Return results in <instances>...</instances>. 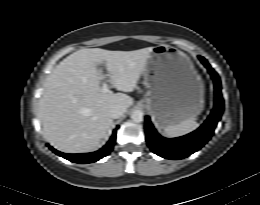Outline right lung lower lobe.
Instances as JSON below:
<instances>
[{"label":"right lung lower lobe","instance_id":"obj_1","mask_svg":"<svg viewBox=\"0 0 260 205\" xmlns=\"http://www.w3.org/2000/svg\"><path fill=\"white\" fill-rule=\"evenodd\" d=\"M116 140V130H114L112 137L108 141V143L101 148L100 150L92 153H83V154H66L59 152L52 147H49L53 152H55L57 155L70 160L71 162L80 163V164H86V163H92L96 162L97 160L107 156L111 150L113 149V145Z\"/></svg>","mask_w":260,"mask_h":205}]
</instances>
